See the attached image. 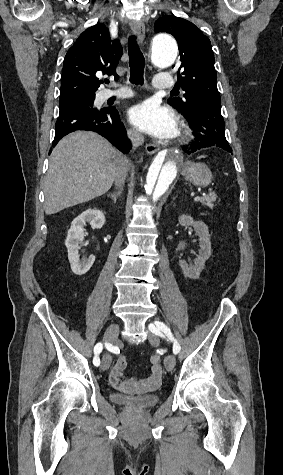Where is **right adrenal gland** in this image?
Instances as JSON below:
<instances>
[{
  "label": "right adrenal gland",
  "instance_id": "1",
  "mask_svg": "<svg viewBox=\"0 0 283 475\" xmlns=\"http://www.w3.org/2000/svg\"><path fill=\"white\" fill-rule=\"evenodd\" d=\"M122 190H117V192H114V194H108V198H112L114 204L117 202L118 196H120Z\"/></svg>",
  "mask_w": 283,
  "mask_h": 475
}]
</instances>
